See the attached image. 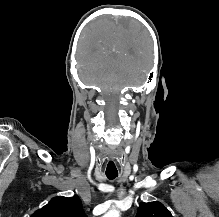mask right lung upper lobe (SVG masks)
<instances>
[{
    "mask_svg": "<svg viewBox=\"0 0 219 217\" xmlns=\"http://www.w3.org/2000/svg\"><path fill=\"white\" fill-rule=\"evenodd\" d=\"M31 217H87L77 197H55Z\"/></svg>",
    "mask_w": 219,
    "mask_h": 217,
    "instance_id": "right-lung-upper-lobe-1",
    "label": "right lung upper lobe"
}]
</instances>
